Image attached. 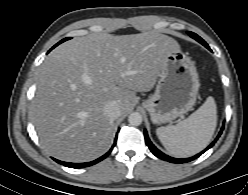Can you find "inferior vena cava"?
Segmentation results:
<instances>
[{"label": "inferior vena cava", "instance_id": "602c4592", "mask_svg": "<svg viewBox=\"0 0 248 195\" xmlns=\"http://www.w3.org/2000/svg\"><path fill=\"white\" fill-rule=\"evenodd\" d=\"M104 114L111 120L117 119L121 115V108L116 101H109L104 106Z\"/></svg>", "mask_w": 248, "mask_h": 195}]
</instances>
